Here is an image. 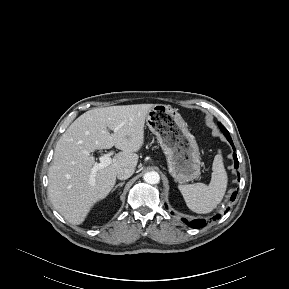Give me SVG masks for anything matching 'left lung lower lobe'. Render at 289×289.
Listing matches in <instances>:
<instances>
[{
  "label": "left lung lower lobe",
  "instance_id": "left-lung-lower-lobe-1",
  "mask_svg": "<svg viewBox=\"0 0 289 289\" xmlns=\"http://www.w3.org/2000/svg\"><path fill=\"white\" fill-rule=\"evenodd\" d=\"M227 140L230 142V144L232 145L233 147V150H235V147L233 145V142H232V139L230 137L229 134H226L225 135ZM233 158H234V161H235V168H238V159H237V155L235 153H233ZM238 180L240 181V177H239V174H238ZM236 194H237V191H235L231 197V199L233 200L235 197H236ZM228 210V209H227ZM220 218V215L217 214L215 217H213L214 220L216 219H219ZM183 222L185 224H187L188 226L192 227V228H202L204 226H206V221L204 219H199V220H192V221H188L187 219H182Z\"/></svg>",
  "mask_w": 289,
  "mask_h": 289
}]
</instances>
